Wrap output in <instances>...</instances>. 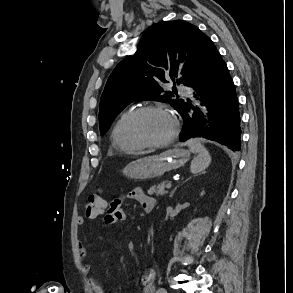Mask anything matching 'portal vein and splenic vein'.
Returning <instances> with one entry per match:
<instances>
[{
    "instance_id": "18ae733b",
    "label": "portal vein and splenic vein",
    "mask_w": 293,
    "mask_h": 293,
    "mask_svg": "<svg viewBox=\"0 0 293 293\" xmlns=\"http://www.w3.org/2000/svg\"><path fill=\"white\" fill-rule=\"evenodd\" d=\"M171 187H172L171 182H168L167 185H166V188H167V189H170Z\"/></svg>"
}]
</instances>
